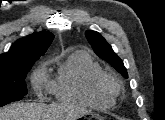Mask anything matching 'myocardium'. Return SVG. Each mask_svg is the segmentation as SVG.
Returning a JSON list of instances; mask_svg holds the SVG:
<instances>
[{
	"mask_svg": "<svg viewBox=\"0 0 165 120\" xmlns=\"http://www.w3.org/2000/svg\"><path fill=\"white\" fill-rule=\"evenodd\" d=\"M96 85L100 89L111 91L116 94L118 93V91L120 89V84H119L118 80L116 78H114L113 76L106 74V73H104L97 79Z\"/></svg>",
	"mask_w": 165,
	"mask_h": 120,
	"instance_id": "obj_1",
	"label": "myocardium"
}]
</instances>
